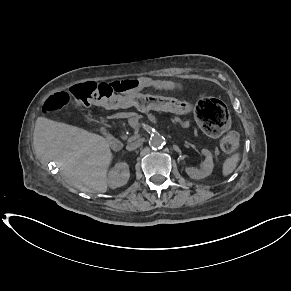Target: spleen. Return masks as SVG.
Returning <instances> with one entry per match:
<instances>
[{
	"mask_svg": "<svg viewBox=\"0 0 291 291\" xmlns=\"http://www.w3.org/2000/svg\"><path fill=\"white\" fill-rule=\"evenodd\" d=\"M239 160H240L239 153H235L228 157L223 163L222 168L223 176L230 175L236 169Z\"/></svg>",
	"mask_w": 291,
	"mask_h": 291,
	"instance_id": "obj_1",
	"label": "spleen"
}]
</instances>
